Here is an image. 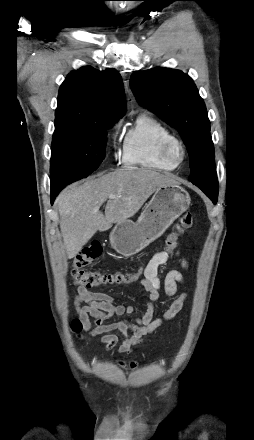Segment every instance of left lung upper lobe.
<instances>
[{
  "instance_id": "left-lung-upper-lobe-1",
  "label": "left lung upper lobe",
  "mask_w": 254,
  "mask_h": 440,
  "mask_svg": "<svg viewBox=\"0 0 254 440\" xmlns=\"http://www.w3.org/2000/svg\"><path fill=\"white\" fill-rule=\"evenodd\" d=\"M130 86L140 105L178 130L190 157L189 180L216 204L218 180L210 122L193 80L179 70L155 68L135 71Z\"/></svg>"
}]
</instances>
